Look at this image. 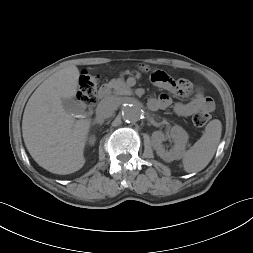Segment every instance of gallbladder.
Segmentation results:
<instances>
[{"instance_id":"bac80fb5","label":"gallbladder","mask_w":253,"mask_h":253,"mask_svg":"<svg viewBox=\"0 0 253 253\" xmlns=\"http://www.w3.org/2000/svg\"><path fill=\"white\" fill-rule=\"evenodd\" d=\"M61 101H62L63 108L67 113L73 114V115H77L80 113L79 105L74 99L62 98Z\"/></svg>"}]
</instances>
